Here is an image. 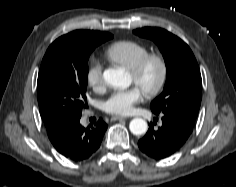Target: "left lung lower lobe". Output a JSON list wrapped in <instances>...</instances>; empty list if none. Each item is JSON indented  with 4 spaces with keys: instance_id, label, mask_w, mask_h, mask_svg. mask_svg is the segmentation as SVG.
<instances>
[{
    "instance_id": "0a47b994",
    "label": "left lung lower lobe",
    "mask_w": 236,
    "mask_h": 187,
    "mask_svg": "<svg viewBox=\"0 0 236 187\" xmlns=\"http://www.w3.org/2000/svg\"><path fill=\"white\" fill-rule=\"evenodd\" d=\"M192 124L172 115H163L162 126L157 130L150 127L138 141L140 150L153 159H163L175 153L193 130Z\"/></svg>"
}]
</instances>
